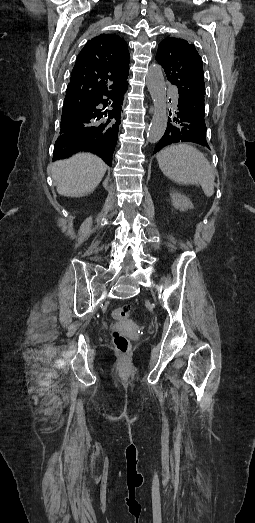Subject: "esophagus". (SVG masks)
Segmentation results:
<instances>
[{
  "instance_id": "34e87169",
  "label": "esophagus",
  "mask_w": 255,
  "mask_h": 523,
  "mask_svg": "<svg viewBox=\"0 0 255 523\" xmlns=\"http://www.w3.org/2000/svg\"><path fill=\"white\" fill-rule=\"evenodd\" d=\"M153 111H154V107L151 106L150 107V113H153Z\"/></svg>"
}]
</instances>
